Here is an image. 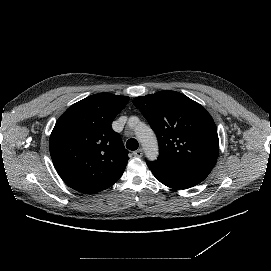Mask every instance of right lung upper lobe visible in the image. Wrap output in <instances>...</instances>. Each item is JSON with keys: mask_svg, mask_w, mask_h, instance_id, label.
<instances>
[{"mask_svg": "<svg viewBox=\"0 0 271 271\" xmlns=\"http://www.w3.org/2000/svg\"><path fill=\"white\" fill-rule=\"evenodd\" d=\"M128 101L126 96L94 94L70 106L57 120L50 155L59 176L74 190L97 193L123 174L128 151L111 123Z\"/></svg>", "mask_w": 271, "mask_h": 271, "instance_id": "obj_1", "label": "right lung upper lobe"}]
</instances>
